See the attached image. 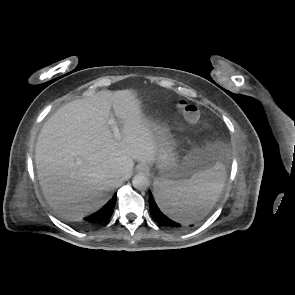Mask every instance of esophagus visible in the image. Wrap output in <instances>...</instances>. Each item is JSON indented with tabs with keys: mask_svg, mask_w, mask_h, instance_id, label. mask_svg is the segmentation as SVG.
Listing matches in <instances>:
<instances>
[{
	"mask_svg": "<svg viewBox=\"0 0 295 295\" xmlns=\"http://www.w3.org/2000/svg\"><path fill=\"white\" fill-rule=\"evenodd\" d=\"M148 170H149V167L144 163H140L137 166V171L138 172L146 173V172H148Z\"/></svg>",
	"mask_w": 295,
	"mask_h": 295,
	"instance_id": "obj_1",
	"label": "esophagus"
}]
</instances>
